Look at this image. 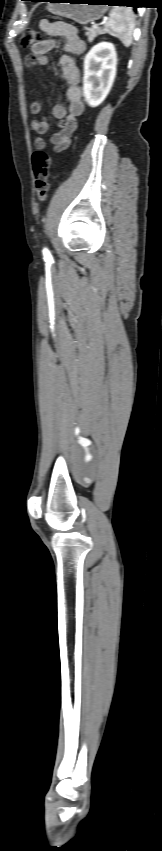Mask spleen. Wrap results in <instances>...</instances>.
Returning a JSON list of instances; mask_svg holds the SVG:
<instances>
[{"instance_id": "1", "label": "spleen", "mask_w": 162, "mask_h": 851, "mask_svg": "<svg viewBox=\"0 0 162 851\" xmlns=\"http://www.w3.org/2000/svg\"><path fill=\"white\" fill-rule=\"evenodd\" d=\"M109 16L108 21L105 23L104 31L117 37L125 47H129L132 43V35L135 27L132 9L115 6L112 8Z\"/></svg>"}]
</instances>
